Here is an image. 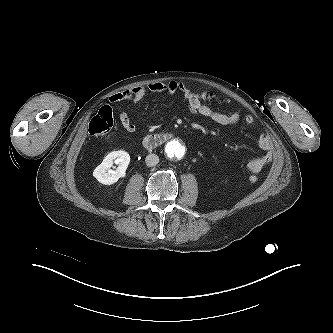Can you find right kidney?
Returning a JSON list of instances; mask_svg holds the SVG:
<instances>
[{
	"mask_svg": "<svg viewBox=\"0 0 333 333\" xmlns=\"http://www.w3.org/2000/svg\"><path fill=\"white\" fill-rule=\"evenodd\" d=\"M130 162V156L123 150L109 153L100 165L96 167L93 176L102 184L111 185L116 183L120 178L125 177L126 169ZM119 164L116 170L110 168L113 164Z\"/></svg>",
	"mask_w": 333,
	"mask_h": 333,
	"instance_id": "1",
	"label": "right kidney"
}]
</instances>
